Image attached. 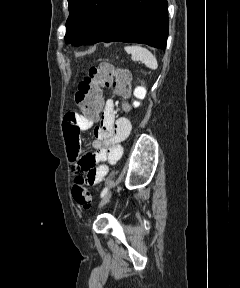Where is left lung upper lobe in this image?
<instances>
[{"label": "left lung upper lobe", "instance_id": "5c2ea615", "mask_svg": "<svg viewBox=\"0 0 240 288\" xmlns=\"http://www.w3.org/2000/svg\"><path fill=\"white\" fill-rule=\"evenodd\" d=\"M109 0H68L66 42L83 45L99 24Z\"/></svg>", "mask_w": 240, "mask_h": 288}]
</instances>
